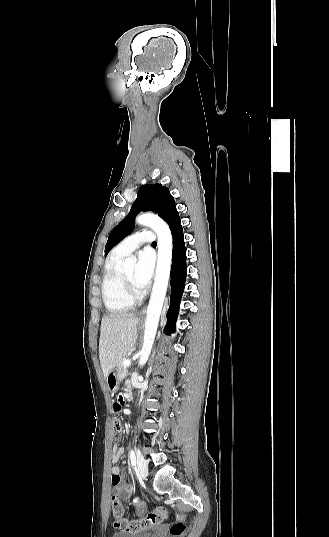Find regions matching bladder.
<instances>
[{
    "mask_svg": "<svg viewBox=\"0 0 329 537\" xmlns=\"http://www.w3.org/2000/svg\"><path fill=\"white\" fill-rule=\"evenodd\" d=\"M158 531V528H152L151 530L147 531H140L135 533H127V532H115L112 534L111 537H153V534Z\"/></svg>",
    "mask_w": 329,
    "mask_h": 537,
    "instance_id": "31cf9c89",
    "label": "bladder"
}]
</instances>
